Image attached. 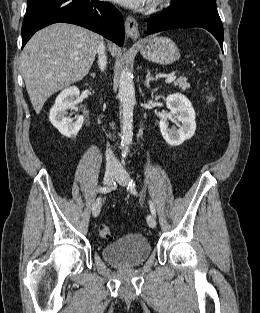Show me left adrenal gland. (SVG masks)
Here are the masks:
<instances>
[{
  "label": "left adrenal gland",
  "instance_id": "a2214340",
  "mask_svg": "<svg viewBox=\"0 0 260 313\" xmlns=\"http://www.w3.org/2000/svg\"><path fill=\"white\" fill-rule=\"evenodd\" d=\"M151 81H157V78L152 77V76L150 75V71H149V69H148V70H147V74H146V80H145V83H144L147 88L150 87V82H151Z\"/></svg>",
  "mask_w": 260,
  "mask_h": 313
}]
</instances>
